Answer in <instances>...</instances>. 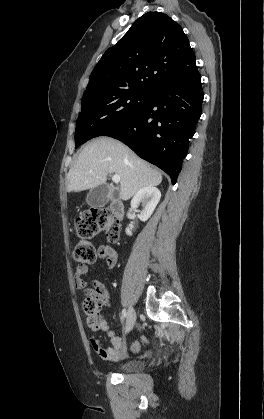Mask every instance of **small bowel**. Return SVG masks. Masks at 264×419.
I'll use <instances>...</instances> for the list:
<instances>
[{
	"label": "small bowel",
	"mask_w": 264,
	"mask_h": 419,
	"mask_svg": "<svg viewBox=\"0 0 264 419\" xmlns=\"http://www.w3.org/2000/svg\"><path fill=\"white\" fill-rule=\"evenodd\" d=\"M97 254L99 258L107 265L110 271H113L117 264V251L106 244H102L98 247ZM89 272V268L86 265H80L77 267L74 275V285L77 289L84 291L86 295H94L101 302V306L105 307L110 301V294L106 286L100 281H94L93 288L87 287V281L85 277ZM94 331H105L110 337L111 345L104 347L101 342L97 339H91L90 345L96 354L104 360H120L126 356L127 345L123 337L118 336L113 330L110 329L108 322L103 313L98 318V325Z\"/></svg>",
	"instance_id": "small-bowel-1"
}]
</instances>
